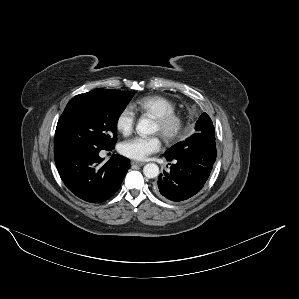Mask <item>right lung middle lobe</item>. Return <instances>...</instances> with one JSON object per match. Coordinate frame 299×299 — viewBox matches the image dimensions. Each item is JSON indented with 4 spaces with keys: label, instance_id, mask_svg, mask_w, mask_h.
I'll return each mask as SVG.
<instances>
[{
    "label": "right lung middle lobe",
    "instance_id": "obj_1",
    "mask_svg": "<svg viewBox=\"0 0 299 299\" xmlns=\"http://www.w3.org/2000/svg\"><path fill=\"white\" fill-rule=\"evenodd\" d=\"M132 97V92L113 89H95L73 97L57 123L54 153L76 148L112 150L116 123Z\"/></svg>",
    "mask_w": 299,
    "mask_h": 299
}]
</instances>
